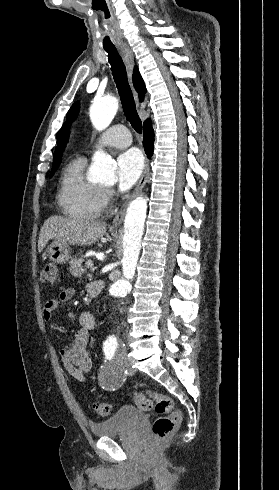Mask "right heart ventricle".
Here are the masks:
<instances>
[{"mask_svg":"<svg viewBox=\"0 0 279 490\" xmlns=\"http://www.w3.org/2000/svg\"><path fill=\"white\" fill-rule=\"evenodd\" d=\"M84 165L83 158H74L65 166L60 182L59 204L65 216L88 221L100 215L101 188L85 179Z\"/></svg>","mask_w":279,"mask_h":490,"instance_id":"1","label":"right heart ventricle"}]
</instances>
